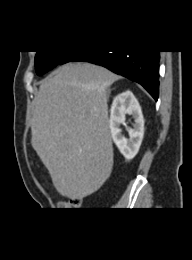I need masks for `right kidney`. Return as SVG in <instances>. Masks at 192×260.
Wrapping results in <instances>:
<instances>
[{"label": "right kidney", "mask_w": 192, "mask_h": 260, "mask_svg": "<svg viewBox=\"0 0 192 260\" xmlns=\"http://www.w3.org/2000/svg\"><path fill=\"white\" fill-rule=\"evenodd\" d=\"M132 115L135 121L133 128H127L130 139L122 134L120 125L125 123V115ZM111 137L121 154L131 160L138 153L144 135V119L141 107L132 92L126 91L113 100L110 111Z\"/></svg>", "instance_id": "1"}]
</instances>
